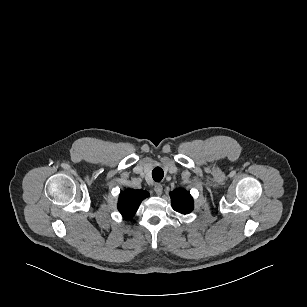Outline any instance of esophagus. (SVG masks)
I'll use <instances>...</instances> for the list:
<instances>
[{
    "mask_svg": "<svg viewBox=\"0 0 307 307\" xmlns=\"http://www.w3.org/2000/svg\"><path fill=\"white\" fill-rule=\"evenodd\" d=\"M154 191L157 195H161L163 191V186L159 183L155 184Z\"/></svg>",
    "mask_w": 307,
    "mask_h": 307,
    "instance_id": "1",
    "label": "esophagus"
}]
</instances>
